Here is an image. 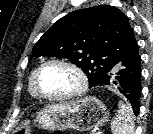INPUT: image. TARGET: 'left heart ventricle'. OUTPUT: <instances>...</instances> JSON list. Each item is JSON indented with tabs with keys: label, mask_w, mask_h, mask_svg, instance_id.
<instances>
[{
	"label": "left heart ventricle",
	"mask_w": 153,
	"mask_h": 134,
	"mask_svg": "<svg viewBox=\"0 0 153 134\" xmlns=\"http://www.w3.org/2000/svg\"><path fill=\"white\" fill-rule=\"evenodd\" d=\"M41 90L49 95H62L73 91L78 85L76 75L61 65L46 67L39 80Z\"/></svg>",
	"instance_id": "b2bd125f"
}]
</instances>
